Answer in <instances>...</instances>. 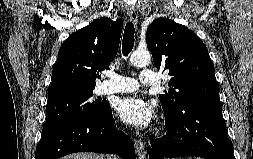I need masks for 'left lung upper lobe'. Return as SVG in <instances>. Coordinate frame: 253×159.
Listing matches in <instances>:
<instances>
[{
  "label": "left lung upper lobe",
  "instance_id": "left-lung-upper-lobe-1",
  "mask_svg": "<svg viewBox=\"0 0 253 159\" xmlns=\"http://www.w3.org/2000/svg\"><path fill=\"white\" fill-rule=\"evenodd\" d=\"M147 47L155 66L169 71V86L159 95L166 116H174L191 103L220 105L219 85L208 50L198 36L167 18L154 20L147 29Z\"/></svg>",
  "mask_w": 253,
  "mask_h": 159
}]
</instances>
